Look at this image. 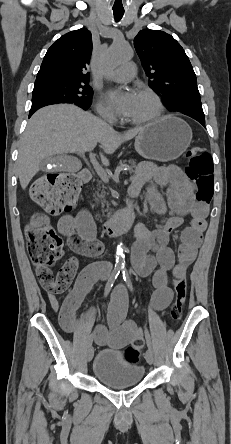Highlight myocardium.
Masks as SVG:
<instances>
[{"instance_id":"f54148a6","label":"myocardium","mask_w":231,"mask_h":444,"mask_svg":"<svg viewBox=\"0 0 231 444\" xmlns=\"http://www.w3.org/2000/svg\"><path fill=\"white\" fill-rule=\"evenodd\" d=\"M136 92H137V94H144V95H147L153 99V101L155 102V105H156V113L150 117L140 119V120L127 119V122L134 124V125H145V124L153 123V122L157 121L158 119H160L162 117V115L164 114V110H165L164 103H163L161 97L153 89H151L149 87L138 88Z\"/></svg>"}]
</instances>
